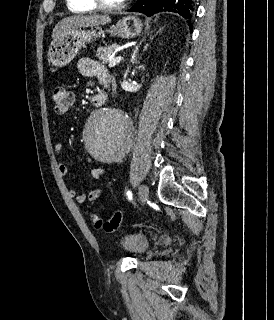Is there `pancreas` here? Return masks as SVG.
I'll return each mask as SVG.
<instances>
[{
  "label": "pancreas",
  "instance_id": "pancreas-1",
  "mask_svg": "<svg viewBox=\"0 0 274 320\" xmlns=\"http://www.w3.org/2000/svg\"><path fill=\"white\" fill-rule=\"evenodd\" d=\"M118 46L116 44H113V46H107V48H98L97 50V58L100 60V62H108L109 56H111L112 52H115L117 50Z\"/></svg>",
  "mask_w": 274,
  "mask_h": 320
}]
</instances>
